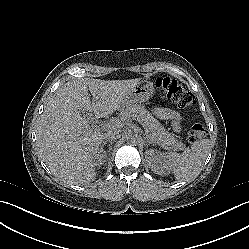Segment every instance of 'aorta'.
I'll list each match as a JSON object with an SVG mask.
<instances>
[{"label": "aorta", "instance_id": "762f6f07", "mask_svg": "<svg viewBox=\"0 0 249 249\" xmlns=\"http://www.w3.org/2000/svg\"><path fill=\"white\" fill-rule=\"evenodd\" d=\"M138 140H139V137H138V135L135 134V133H130V134H128L127 137H126V142H127L128 144H133V145H134V144H137Z\"/></svg>", "mask_w": 249, "mask_h": 249}]
</instances>
